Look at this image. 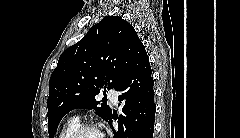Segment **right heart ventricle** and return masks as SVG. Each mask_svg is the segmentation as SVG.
I'll use <instances>...</instances> for the list:
<instances>
[{"instance_id": "obj_1", "label": "right heart ventricle", "mask_w": 240, "mask_h": 138, "mask_svg": "<svg viewBox=\"0 0 240 138\" xmlns=\"http://www.w3.org/2000/svg\"><path fill=\"white\" fill-rule=\"evenodd\" d=\"M79 125L78 120L71 119L66 123V125L63 127L62 132L60 133V138H68L71 132Z\"/></svg>"}]
</instances>
